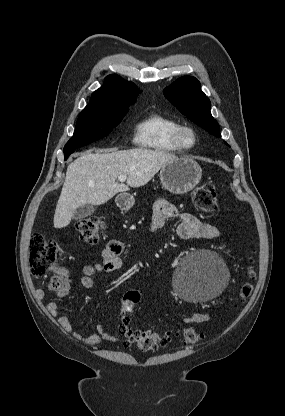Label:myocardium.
<instances>
[{"mask_svg": "<svg viewBox=\"0 0 285 416\" xmlns=\"http://www.w3.org/2000/svg\"><path fill=\"white\" fill-rule=\"evenodd\" d=\"M185 134H189L192 138V143L185 142ZM174 141L178 148L183 151H192L198 144V135L196 130L189 125H179L174 134Z\"/></svg>", "mask_w": 285, "mask_h": 416, "instance_id": "1", "label": "myocardium"}]
</instances>
